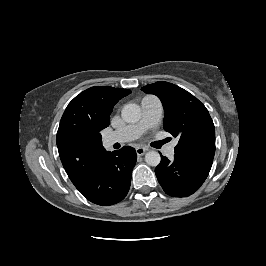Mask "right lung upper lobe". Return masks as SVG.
Masks as SVG:
<instances>
[{
    "label": "right lung upper lobe",
    "instance_id": "right-lung-upper-lobe-1",
    "mask_svg": "<svg viewBox=\"0 0 266 266\" xmlns=\"http://www.w3.org/2000/svg\"><path fill=\"white\" fill-rule=\"evenodd\" d=\"M130 93L122 88L91 87L65 109L56 143L63 167L78 190L90 182L108 152L100 132L109 126L113 106Z\"/></svg>",
    "mask_w": 266,
    "mask_h": 266
}]
</instances>
